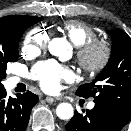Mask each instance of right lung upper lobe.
Instances as JSON below:
<instances>
[{"label":"right lung upper lobe","mask_w":131,"mask_h":131,"mask_svg":"<svg viewBox=\"0 0 131 131\" xmlns=\"http://www.w3.org/2000/svg\"><path fill=\"white\" fill-rule=\"evenodd\" d=\"M21 15L5 16L0 18V42L6 41L9 37L11 24Z\"/></svg>","instance_id":"cb5924a9"}]
</instances>
